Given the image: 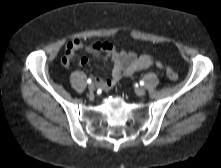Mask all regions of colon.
Returning <instances> with one entry per match:
<instances>
[{
    "instance_id": "obj_1",
    "label": "colon",
    "mask_w": 221,
    "mask_h": 168,
    "mask_svg": "<svg viewBox=\"0 0 221 168\" xmlns=\"http://www.w3.org/2000/svg\"><path fill=\"white\" fill-rule=\"evenodd\" d=\"M166 74L168 78L172 81H176L178 79V74L170 67L166 68Z\"/></svg>"
}]
</instances>
